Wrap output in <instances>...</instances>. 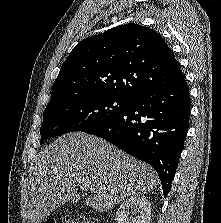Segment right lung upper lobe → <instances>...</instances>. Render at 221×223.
<instances>
[{"mask_svg":"<svg viewBox=\"0 0 221 223\" xmlns=\"http://www.w3.org/2000/svg\"><path fill=\"white\" fill-rule=\"evenodd\" d=\"M183 78L160 34L139 24H125L73 48L55 80L49 103L87 94L132 100Z\"/></svg>","mask_w":221,"mask_h":223,"instance_id":"cb5924a9","label":"right lung upper lobe"}]
</instances>
